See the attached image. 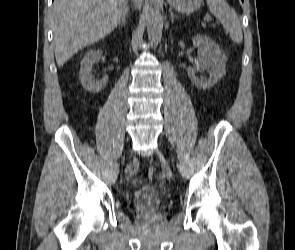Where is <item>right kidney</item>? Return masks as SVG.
<instances>
[{
  "label": "right kidney",
  "instance_id": "obj_1",
  "mask_svg": "<svg viewBox=\"0 0 295 250\" xmlns=\"http://www.w3.org/2000/svg\"><path fill=\"white\" fill-rule=\"evenodd\" d=\"M102 52L100 50H92L88 52L81 61L80 81L84 89L98 93L100 92L108 81V76H104L99 81H94L92 76V66L100 61Z\"/></svg>",
  "mask_w": 295,
  "mask_h": 250
}]
</instances>
